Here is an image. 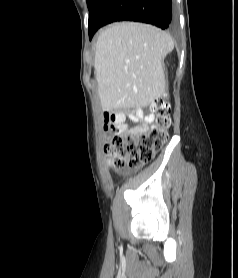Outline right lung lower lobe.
Returning a JSON list of instances; mask_svg holds the SVG:
<instances>
[{
  "instance_id": "1",
  "label": "right lung lower lobe",
  "mask_w": 238,
  "mask_h": 278,
  "mask_svg": "<svg viewBox=\"0 0 238 278\" xmlns=\"http://www.w3.org/2000/svg\"><path fill=\"white\" fill-rule=\"evenodd\" d=\"M119 20L153 24L162 29L172 26L171 0H96L89 10V38L101 26Z\"/></svg>"
}]
</instances>
